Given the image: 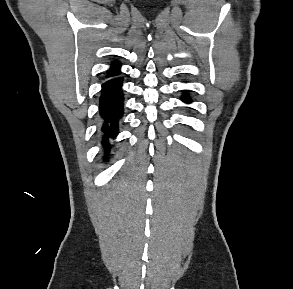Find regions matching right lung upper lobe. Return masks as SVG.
Listing matches in <instances>:
<instances>
[{"instance_id": "cb5924a9", "label": "right lung upper lobe", "mask_w": 293, "mask_h": 289, "mask_svg": "<svg viewBox=\"0 0 293 289\" xmlns=\"http://www.w3.org/2000/svg\"><path fill=\"white\" fill-rule=\"evenodd\" d=\"M120 63L118 61H115L110 70L107 71V75H106V78H109V77H114L116 75H119L120 74Z\"/></svg>"}]
</instances>
